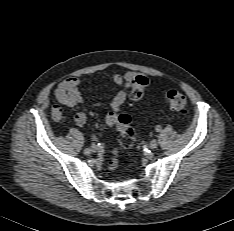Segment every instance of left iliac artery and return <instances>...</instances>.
<instances>
[{"label": "left iliac artery", "mask_w": 234, "mask_h": 231, "mask_svg": "<svg viewBox=\"0 0 234 231\" xmlns=\"http://www.w3.org/2000/svg\"><path fill=\"white\" fill-rule=\"evenodd\" d=\"M161 126L160 125H157L156 127H155V130H156V132H160L161 131Z\"/></svg>", "instance_id": "44dca946"}]
</instances>
